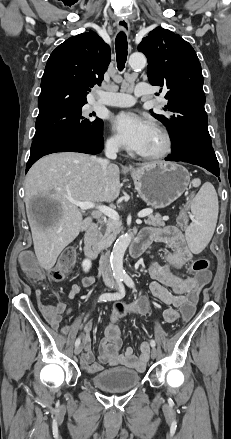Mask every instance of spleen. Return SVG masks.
Returning <instances> with one entry per match:
<instances>
[{"label": "spleen", "instance_id": "3e777b00", "mask_svg": "<svg viewBox=\"0 0 231 439\" xmlns=\"http://www.w3.org/2000/svg\"><path fill=\"white\" fill-rule=\"evenodd\" d=\"M218 197L214 186L206 182L191 203L194 220L186 229L190 250L198 254L210 242L218 218Z\"/></svg>", "mask_w": 231, "mask_h": 439}]
</instances>
